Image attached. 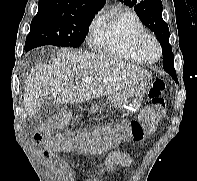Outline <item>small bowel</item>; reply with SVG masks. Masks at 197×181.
<instances>
[{
    "label": "small bowel",
    "instance_id": "1",
    "mask_svg": "<svg viewBox=\"0 0 197 181\" xmlns=\"http://www.w3.org/2000/svg\"><path fill=\"white\" fill-rule=\"evenodd\" d=\"M59 150L60 149H51L50 147H48L47 149L42 150L40 154L43 158L50 161H54L58 167L59 172L63 176L72 177L74 173L70 165L59 154ZM63 151L71 152L72 150L70 151L63 150ZM83 152L90 156H95L97 154L96 152H92L88 150ZM131 162L132 160L128 154L120 150H112L107 154L104 162L102 163L93 162L94 165H97L99 167V171L97 175L93 178V181H99L100 175H102L104 172H113L117 166H130Z\"/></svg>",
    "mask_w": 197,
    "mask_h": 181
}]
</instances>
